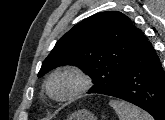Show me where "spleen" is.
Instances as JSON below:
<instances>
[{
	"instance_id": "3e777b00",
	"label": "spleen",
	"mask_w": 165,
	"mask_h": 120,
	"mask_svg": "<svg viewBox=\"0 0 165 120\" xmlns=\"http://www.w3.org/2000/svg\"><path fill=\"white\" fill-rule=\"evenodd\" d=\"M109 105L115 110L119 120H153L147 112L125 101L110 100Z\"/></svg>"
}]
</instances>
